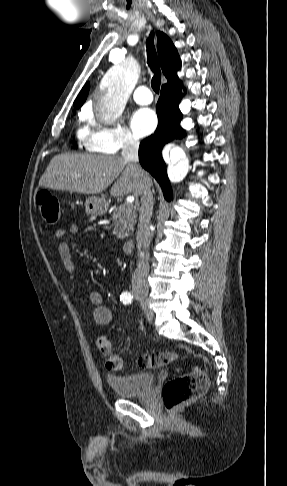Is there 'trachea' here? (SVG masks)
<instances>
[{"label": "trachea", "mask_w": 287, "mask_h": 486, "mask_svg": "<svg viewBox=\"0 0 287 486\" xmlns=\"http://www.w3.org/2000/svg\"><path fill=\"white\" fill-rule=\"evenodd\" d=\"M147 58H148V65L151 68L152 72L154 73V76L151 81V86L156 93H159L160 84H161V71L159 67V60L154 46L153 33H150V36L147 40Z\"/></svg>", "instance_id": "1"}]
</instances>
